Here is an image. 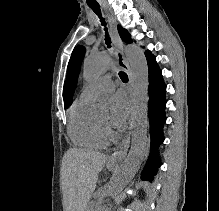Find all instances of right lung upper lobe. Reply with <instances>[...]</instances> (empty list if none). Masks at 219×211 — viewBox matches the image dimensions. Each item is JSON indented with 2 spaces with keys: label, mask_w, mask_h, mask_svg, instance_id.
<instances>
[{
  "label": "right lung upper lobe",
  "mask_w": 219,
  "mask_h": 211,
  "mask_svg": "<svg viewBox=\"0 0 219 211\" xmlns=\"http://www.w3.org/2000/svg\"><path fill=\"white\" fill-rule=\"evenodd\" d=\"M63 99H64V105H65V107L68 106V102H69V101H68L66 83H65V85H64Z\"/></svg>",
  "instance_id": "right-lung-upper-lobe-1"
}]
</instances>
